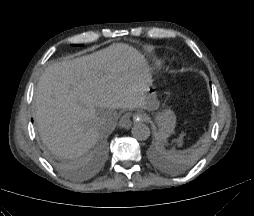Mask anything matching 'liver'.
Instances as JSON below:
<instances>
[{
	"label": "liver",
	"mask_w": 254,
	"mask_h": 216,
	"mask_svg": "<svg viewBox=\"0 0 254 216\" xmlns=\"http://www.w3.org/2000/svg\"><path fill=\"white\" fill-rule=\"evenodd\" d=\"M143 65L139 53L124 44L51 63L34 95L43 143L60 158H77L112 132L118 109L152 110Z\"/></svg>",
	"instance_id": "1"
}]
</instances>
